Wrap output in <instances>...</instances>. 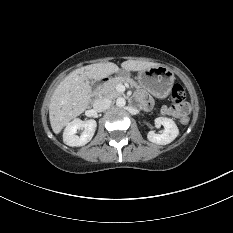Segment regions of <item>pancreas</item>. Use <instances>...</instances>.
Returning <instances> with one entry per match:
<instances>
[{
  "label": "pancreas",
  "instance_id": "pancreas-1",
  "mask_svg": "<svg viewBox=\"0 0 233 233\" xmlns=\"http://www.w3.org/2000/svg\"><path fill=\"white\" fill-rule=\"evenodd\" d=\"M119 84L130 85L134 88H139V85L130 77H115L105 82L98 90L99 96L114 99L121 96L123 93L117 91L116 87Z\"/></svg>",
  "mask_w": 233,
  "mask_h": 233
}]
</instances>
